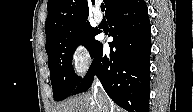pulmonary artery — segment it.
<instances>
[{"instance_id":"1","label":"pulmonary artery","mask_w":193,"mask_h":112,"mask_svg":"<svg viewBox=\"0 0 193 112\" xmlns=\"http://www.w3.org/2000/svg\"><path fill=\"white\" fill-rule=\"evenodd\" d=\"M94 19H95V21L99 24V23L102 22L103 17H102V15H101L100 12H96L95 15H94Z\"/></svg>"}]
</instances>
